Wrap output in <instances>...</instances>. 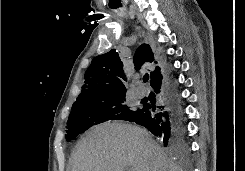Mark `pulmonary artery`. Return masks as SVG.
Returning a JSON list of instances; mask_svg holds the SVG:
<instances>
[{"mask_svg":"<svg viewBox=\"0 0 245 171\" xmlns=\"http://www.w3.org/2000/svg\"><path fill=\"white\" fill-rule=\"evenodd\" d=\"M134 93L137 97H143L147 94V89L143 86H137L134 88Z\"/></svg>","mask_w":245,"mask_h":171,"instance_id":"pulmonary-artery-1","label":"pulmonary artery"}]
</instances>
